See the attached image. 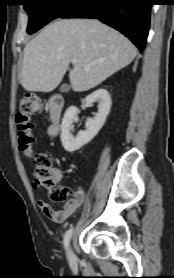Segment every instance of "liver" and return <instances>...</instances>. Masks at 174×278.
<instances>
[{
	"instance_id": "obj_1",
	"label": "liver",
	"mask_w": 174,
	"mask_h": 278,
	"mask_svg": "<svg viewBox=\"0 0 174 278\" xmlns=\"http://www.w3.org/2000/svg\"><path fill=\"white\" fill-rule=\"evenodd\" d=\"M135 56L129 39L98 20L59 19L25 46L19 80L26 91L51 92L75 60L70 84L73 91L83 92L129 65Z\"/></svg>"
}]
</instances>
